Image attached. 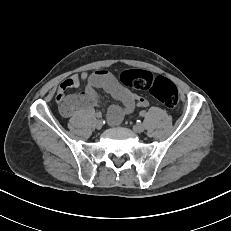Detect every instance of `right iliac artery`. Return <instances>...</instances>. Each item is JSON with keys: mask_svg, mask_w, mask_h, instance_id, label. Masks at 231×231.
Here are the masks:
<instances>
[{"mask_svg": "<svg viewBox=\"0 0 231 231\" xmlns=\"http://www.w3.org/2000/svg\"><path fill=\"white\" fill-rule=\"evenodd\" d=\"M96 117H97V118H101V117H102L101 112H97V113H96Z\"/></svg>", "mask_w": 231, "mask_h": 231, "instance_id": "82829eb1", "label": "right iliac artery"}]
</instances>
